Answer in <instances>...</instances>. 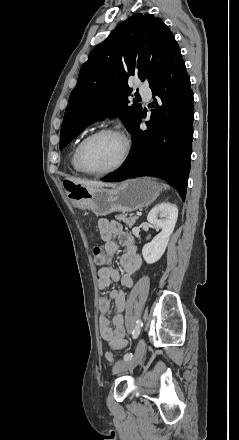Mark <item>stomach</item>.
<instances>
[{"instance_id":"obj_1","label":"stomach","mask_w":239,"mask_h":440,"mask_svg":"<svg viewBox=\"0 0 239 440\" xmlns=\"http://www.w3.org/2000/svg\"><path fill=\"white\" fill-rule=\"evenodd\" d=\"M162 190L161 184L152 178H136L121 182L116 188L89 190L81 184L70 182L69 198L81 210H91L95 216H107L111 212H134L155 202Z\"/></svg>"}]
</instances>
